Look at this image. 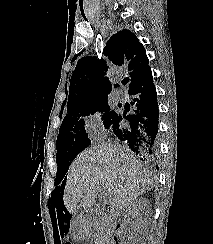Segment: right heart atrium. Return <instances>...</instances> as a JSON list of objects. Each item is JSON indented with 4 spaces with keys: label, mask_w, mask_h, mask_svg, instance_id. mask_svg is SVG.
Listing matches in <instances>:
<instances>
[{
    "label": "right heart atrium",
    "mask_w": 213,
    "mask_h": 244,
    "mask_svg": "<svg viewBox=\"0 0 213 244\" xmlns=\"http://www.w3.org/2000/svg\"><path fill=\"white\" fill-rule=\"evenodd\" d=\"M86 129L92 138H101L105 131L102 128L100 113L95 112L85 117Z\"/></svg>",
    "instance_id": "obj_1"
}]
</instances>
